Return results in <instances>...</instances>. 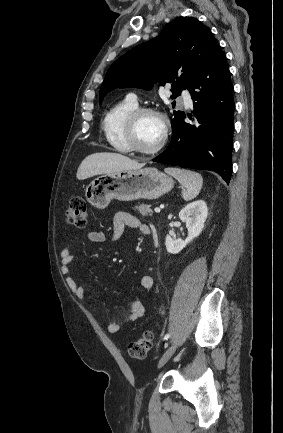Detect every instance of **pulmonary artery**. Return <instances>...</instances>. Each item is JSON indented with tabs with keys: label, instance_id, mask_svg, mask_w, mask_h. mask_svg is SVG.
<instances>
[{
	"label": "pulmonary artery",
	"instance_id": "e3ab8cb5",
	"mask_svg": "<svg viewBox=\"0 0 283 433\" xmlns=\"http://www.w3.org/2000/svg\"><path fill=\"white\" fill-rule=\"evenodd\" d=\"M179 92L181 94L178 99L179 105L186 109H191L193 107V100L190 93H188L187 89L184 87L181 88ZM129 99L134 102L138 100L135 95H130Z\"/></svg>",
	"mask_w": 283,
	"mask_h": 433
}]
</instances>
